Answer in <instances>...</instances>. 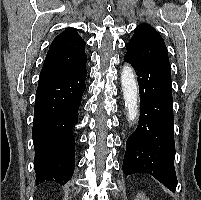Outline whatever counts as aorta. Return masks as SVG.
<instances>
[{"mask_svg":"<svg viewBox=\"0 0 201 200\" xmlns=\"http://www.w3.org/2000/svg\"><path fill=\"white\" fill-rule=\"evenodd\" d=\"M121 85L125 106L128 112V120L134 122L139 114L138 86L135 73L130 65H125L121 72Z\"/></svg>","mask_w":201,"mask_h":200,"instance_id":"762f6f07","label":"aorta"}]
</instances>
